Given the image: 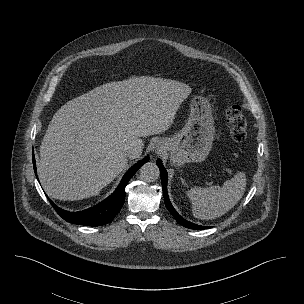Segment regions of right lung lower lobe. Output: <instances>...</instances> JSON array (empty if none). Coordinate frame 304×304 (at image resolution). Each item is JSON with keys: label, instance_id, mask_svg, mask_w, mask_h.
Listing matches in <instances>:
<instances>
[{"label": "right lung lower lobe", "instance_id": "1", "mask_svg": "<svg viewBox=\"0 0 304 304\" xmlns=\"http://www.w3.org/2000/svg\"><path fill=\"white\" fill-rule=\"evenodd\" d=\"M149 157L146 156L144 159L132 166L126 174L123 176L120 184L113 194H111L107 199L99 203L98 205L83 210L79 212H69L62 210L57 207L50 199L49 201L55 208L56 212L66 221L70 223H75L78 225L85 226H101L110 223L114 217L118 214L122 208L125 201V187L128 181L133 177L137 170L146 162H148ZM33 167L36 173V163L33 154Z\"/></svg>", "mask_w": 304, "mask_h": 304}]
</instances>
